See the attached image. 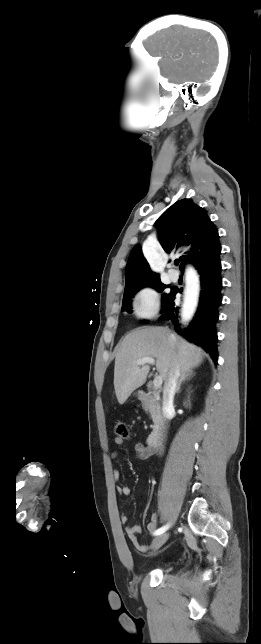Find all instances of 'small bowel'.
<instances>
[{"mask_svg":"<svg viewBox=\"0 0 261 644\" xmlns=\"http://www.w3.org/2000/svg\"><path fill=\"white\" fill-rule=\"evenodd\" d=\"M116 445H122L123 444V439L116 437L114 440ZM134 452L139 459H147L148 457L152 456L155 452V450L147 445H144L142 443H137L134 446ZM113 459L118 458V452H113L112 454ZM113 478L115 481H119L120 479V471L118 469H114L113 471ZM118 492L123 495V496H129L131 494V488L129 486H120L118 487ZM120 520L123 524H126L128 522V516L126 514H122L120 516ZM158 526V516L154 512L151 515L150 522L147 525V529L150 533H154L157 530ZM126 535L130 542L133 544V546L141 553H145L149 550L150 546L143 545L139 542L138 540V535L141 533V526L139 524H134L131 526H127L125 529ZM152 546V545H151Z\"/></svg>","mask_w":261,"mask_h":644,"instance_id":"obj_1","label":"small bowel"}]
</instances>
